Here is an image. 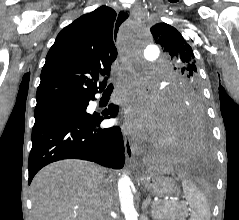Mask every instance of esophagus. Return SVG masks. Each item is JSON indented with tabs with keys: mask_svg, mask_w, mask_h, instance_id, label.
<instances>
[{
	"mask_svg": "<svg viewBox=\"0 0 239 220\" xmlns=\"http://www.w3.org/2000/svg\"><path fill=\"white\" fill-rule=\"evenodd\" d=\"M130 14H134V10L130 11V10H127L126 12L124 11H121L118 15V18H117V21H116V24L114 25L113 27V36H114V43H119V36H120V33H121V30H120V25L128 18V15ZM120 59H122V55H120ZM114 71L115 72H118L119 71V68L118 67H115L114 68ZM122 130H123V138H124V147H125V155H126V158L128 160V162L130 163H133L135 162V154H136V148L131 144L129 138L127 137V132H126V129H125V126L123 125L122 126Z\"/></svg>",
	"mask_w": 239,
	"mask_h": 220,
	"instance_id": "obj_1",
	"label": "esophagus"
}]
</instances>
